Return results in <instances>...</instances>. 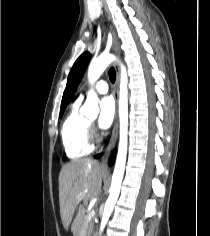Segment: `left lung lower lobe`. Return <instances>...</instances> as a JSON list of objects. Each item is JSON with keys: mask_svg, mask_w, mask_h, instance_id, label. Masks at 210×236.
I'll use <instances>...</instances> for the list:
<instances>
[{"mask_svg": "<svg viewBox=\"0 0 210 236\" xmlns=\"http://www.w3.org/2000/svg\"><path fill=\"white\" fill-rule=\"evenodd\" d=\"M99 157H101V154H100V155H98V156H96L95 158H99Z\"/></svg>", "mask_w": 210, "mask_h": 236, "instance_id": "obj_1", "label": "left lung lower lobe"}]
</instances>
